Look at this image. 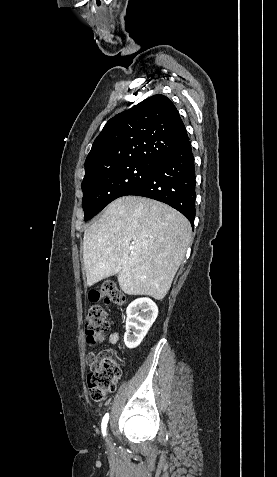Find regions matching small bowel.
<instances>
[{
  "label": "small bowel",
  "mask_w": 277,
  "mask_h": 477,
  "mask_svg": "<svg viewBox=\"0 0 277 477\" xmlns=\"http://www.w3.org/2000/svg\"><path fill=\"white\" fill-rule=\"evenodd\" d=\"M118 339H119V334L117 332H113L109 335V338H108V341H109V344L110 345H114L118 342ZM105 341V337L101 340H99L97 343H90V347H96L98 346L99 344L103 343ZM113 348L112 347H109L108 349L106 350H102L98 353H95V352H90L88 353L87 357H86V361L89 365L93 364L94 362H96L97 360H99L100 358L104 357V356H107V355H111L113 353Z\"/></svg>",
  "instance_id": "c3829d8e"
}]
</instances>
